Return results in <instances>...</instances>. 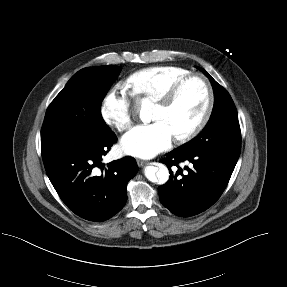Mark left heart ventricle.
<instances>
[{"label":"left heart ventricle","mask_w":287,"mask_h":287,"mask_svg":"<svg viewBox=\"0 0 287 287\" xmlns=\"http://www.w3.org/2000/svg\"><path fill=\"white\" fill-rule=\"evenodd\" d=\"M207 99V91L202 81L192 79L184 85L170 108L164 109L156 105L151 119L165 123L173 137L183 135L201 119Z\"/></svg>","instance_id":"b2bd125f"}]
</instances>
